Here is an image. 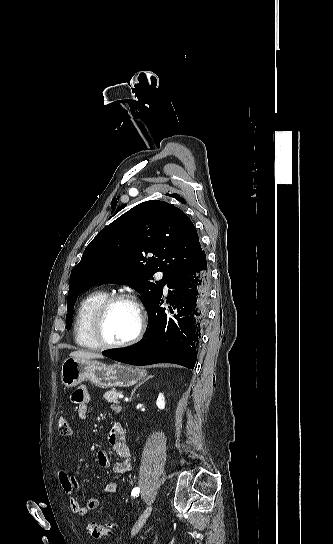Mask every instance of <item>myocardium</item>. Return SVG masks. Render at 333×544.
Masks as SVG:
<instances>
[{"label":"myocardium","instance_id":"myocardium-1","mask_svg":"<svg viewBox=\"0 0 333 544\" xmlns=\"http://www.w3.org/2000/svg\"><path fill=\"white\" fill-rule=\"evenodd\" d=\"M117 302H127L135 308L138 315V326L135 333L129 339L119 343H111L104 339L102 328L106 313L108 312L109 308ZM146 323L147 318L145 310L136 297L126 293H115L108 295L95 309L90 322V334L93 341L99 348H125L133 345L141 338L145 331Z\"/></svg>","mask_w":333,"mask_h":544}]
</instances>
